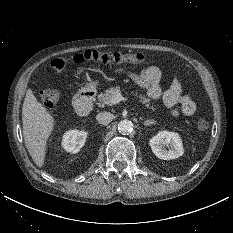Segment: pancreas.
I'll return each mask as SVG.
<instances>
[{
	"label": "pancreas",
	"instance_id": "pancreas-1",
	"mask_svg": "<svg viewBox=\"0 0 233 233\" xmlns=\"http://www.w3.org/2000/svg\"><path fill=\"white\" fill-rule=\"evenodd\" d=\"M121 94V88L119 86L111 87L105 91V93H101L98 95V100L101 105H112L113 98L118 94ZM135 96H137L147 109L155 112L157 111V107L154 103H151L150 98H146L144 94H139L137 91L132 92Z\"/></svg>",
	"mask_w": 233,
	"mask_h": 233
}]
</instances>
